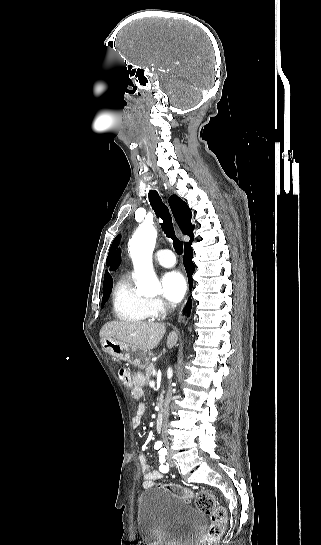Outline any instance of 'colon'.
I'll return each mask as SVG.
<instances>
[{
	"instance_id": "5ec220e1",
	"label": "colon",
	"mask_w": 321,
	"mask_h": 545,
	"mask_svg": "<svg viewBox=\"0 0 321 545\" xmlns=\"http://www.w3.org/2000/svg\"><path fill=\"white\" fill-rule=\"evenodd\" d=\"M118 375L125 387H132L133 382L127 367H119ZM163 488L181 499L190 500L194 498L197 509L208 515L211 520L206 535L200 541V545H216L223 535L227 521L226 509L218 504L216 496L206 491L199 492L194 496L188 489L177 484H167Z\"/></svg>"
}]
</instances>
